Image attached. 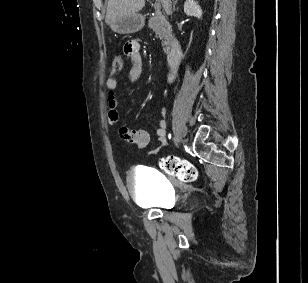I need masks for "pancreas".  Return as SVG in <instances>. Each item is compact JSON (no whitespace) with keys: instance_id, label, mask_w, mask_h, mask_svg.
<instances>
[{"instance_id":"1","label":"pancreas","mask_w":308,"mask_h":283,"mask_svg":"<svg viewBox=\"0 0 308 283\" xmlns=\"http://www.w3.org/2000/svg\"><path fill=\"white\" fill-rule=\"evenodd\" d=\"M148 27L153 29L156 35L162 40L164 52L168 53L170 51L172 31L169 22L160 12H156L154 16L149 18Z\"/></svg>"}]
</instances>
